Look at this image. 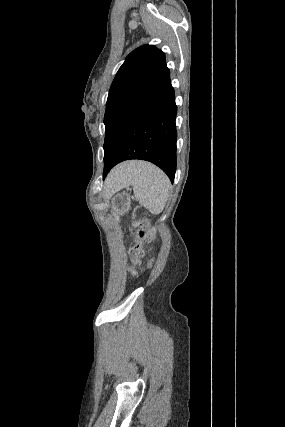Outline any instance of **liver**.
Wrapping results in <instances>:
<instances>
[{"instance_id": "liver-1", "label": "liver", "mask_w": 285, "mask_h": 427, "mask_svg": "<svg viewBox=\"0 0 285 427\" xmlns=\"http://www.w3.org/2000/svg\"><path fill=\"white\" fill-rule=\"evenodd\" d=\"M136 162H126L124 164H121L120 166L116 167L110 174L107 182H106V190L107 192L111 193L114 191H117V189H114V186L120 185L121 181V173L129 166L135 164Z\"/></svg>"}]
</instances>
